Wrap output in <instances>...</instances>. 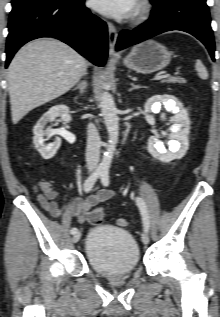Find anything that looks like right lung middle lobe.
I'll return each instance as SVG.
<instances>
[{
  "label": "right lung middle lobe",
  "mask_w": 220,
  "mask_h": 317,
  "mask_svg": "<svg viewBox=\"0 0 220 317\" xmlns=\"http://www.w3.org/2000/svg\"><path fill=\"white\" fill-rule=\"evenodd\" d=\"M60 1H72V0H12V7L16 8L22 5L36 3V2H60Z\"/></svg>",
  "instance_id": "dd1d6c3e"
}]
</instances>
